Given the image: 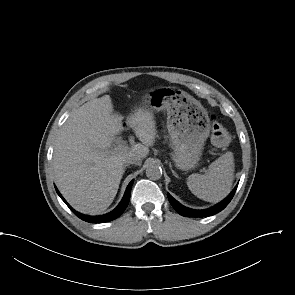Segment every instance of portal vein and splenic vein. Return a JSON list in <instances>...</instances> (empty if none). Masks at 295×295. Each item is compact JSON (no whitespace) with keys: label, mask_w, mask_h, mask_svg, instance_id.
<instances>
[{"label":"portal vein and splenic vein","mask_w":295,"mask_h":295,"mask_svg":"<svg viewBox=\"0 0 295 295\" xmlns=\"http://www.w3.org/2000/svg\"><path fill=\"white\" fill-rule=\"evenodd\" d=\"M136 145H132L131 147H128L124 144H119L117 147L109 149L108 152L109 153H117V152H126L128 150H135L136 149Z\"/></svg>","instance_id":"obj_1"}]
</instances>
